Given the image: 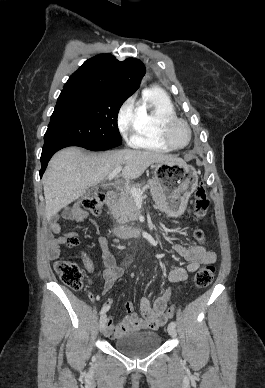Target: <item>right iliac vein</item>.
Returning a JSON list of instances; mask_svg holds the SVG:
<instances>
[{
  "label": "right iliac vein",
  "instance_id": "right-iliac-vein-1",
  "mask_svg": "<svg viewBox=\"0 0 265 388\" xmlns=\"http://www.w3.org/2000/svg\"><path fill=\"white\" fill-rule=\"evenodd\" d=\"M106 319H107V316L105 314H103L101 316V318H100V322H99V330H100V332H103L104 329H105Z\"/></svg>",
  "mask_w": 265,
  "mask_h": 388
}]
</instances>
